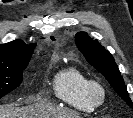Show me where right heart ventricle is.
Listing matches in <instances>:
<instances>
[{"label":"right heart ventricle","mask_w":133,"mask_h":118,"mask_svg":"<svg viewBox=\"0 0 133 118\" xmlns=\"http://www.w3.org/2000/svg\"><path fill=\"white\" fill-rule=\"evenodd\" d=\"M88 82L89 78L80 69L66 67L54 76L53 93L67 106L82 113H93L96 107L87 95Z\"/></svg>","instance_id":"right-heart-ventricle-1"}]
</instances>
